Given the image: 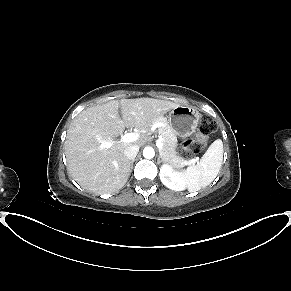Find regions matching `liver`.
<instances>
[{
	"mask_svg": "<svg viewBox=\"0 0 291 291\" xmlns=\"http://www.w3.org/2000/svg\"><path fill=\"white\" fill-rule=\"evenodd\" d=\"M177 106L167 100L136 98L112 100L82 111L70 124L65 141L67 167L72 178L82 188L98 194L120 190L131 172L125 148L144 145L149 135L142 134L134 142H119L110 148H102L101 142L113 141L125 128H149Z\"/></svg>",
	"mask_w": 291,
	"mask_h": 291,
	"instance_id": "1",
	"label": "liver"
}]
</instances>
